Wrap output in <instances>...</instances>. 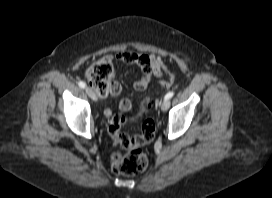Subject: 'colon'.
Instances as JSON below:
<instances>
[{"label":"colon","mask_w":272,"mask_h":198,"mask_svg":"<svg viewBox=\"0 0 272 198\" xmlns=\"http://www.w3.org/2000/svg\"><path fill=\"white\" fill-rule=\"evenodd\" d=\"M119 59V57H117ZM113 77V58L105 56L94 62L86 72V78L89 85L101 96L112 93ZM150 82L149 77L138 79L135 86L138 89H145ZM161 89H169L170 83L162 81L159 83ZM149 106V100H145L140 107L141 114ZM128 122V119L122 114H115L109 124V133L123 148L127 150L125 154L119 152L113 153L111 157V168L114 173L121 175H135L142 172L148 164L146 153L142 146L150 142L156 132L155 122L147 118L143 121L142 132L140 135L129 136L120 132L121 127Z\"/></svg>","instance_id":"colon-1"}]
</instances>
